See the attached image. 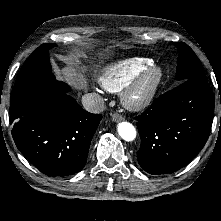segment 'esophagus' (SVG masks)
<instances>
[{"label": "esophagus", "instance_id": "1", "mask_svg": "<svg viewBox=\"0 0 221 221\" xmlns=\"http://www.w3.org/2000/svg\"><path fill=\"white\" fill-rule=\"evenodd\" d=\"M123 119H124V117H123L122 115L118 114V113H114V114L112 115V120H113L114 122H120V121H122Z\"/></svg>", "mask_w": 221, "mask_h": 221}]
</instances>
